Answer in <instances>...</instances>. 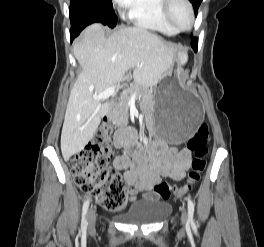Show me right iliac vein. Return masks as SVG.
<instances>
[{"instance_id": "obj_1", "label": "right iliac vein", "mask_w": 264, "mask_h": 247, "mask_svg": "<svg viewBox=\"0 0 264 247\" xmlns=\"http://www.w3.org/2000/svg\"><path fill=\"white\" fill-rule=\"evenodd\" d=\"M87 219H88V227L89 230L92 231L95 228V223H96V214L94 209H89L87 213Z\"/></svg>"}]
</instances>
